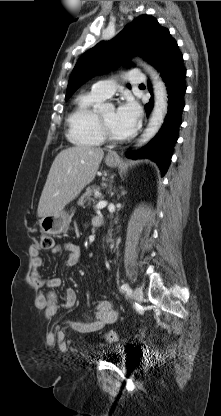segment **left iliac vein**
I'll use <instances>...</instances> for the list:
<instances>
[{"mask_svg": "<svg viewBox=\"0 0 221 416\" xmlns=\"http://www.w3.org/2000/svg\"><path fill=\"white\" fill-rule=\"evenodd\" d=\"M133 297L137 302L141 303L142 300H143V291H142V289L139 288V287H136L133 290Z\"/></svg>", "mask_w": 221, "mask_h": 416, "instance_id": "1", "label": "left iliac vein"}]
</instances>
